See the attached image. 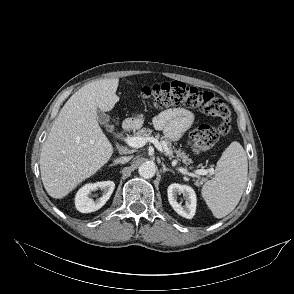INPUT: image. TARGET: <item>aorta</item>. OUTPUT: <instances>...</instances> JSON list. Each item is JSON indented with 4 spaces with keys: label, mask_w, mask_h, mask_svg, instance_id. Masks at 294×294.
Instances as JSON below:
<instances>
[{
    "label": "aorta",
    "mask_w": 294,
    "mask_h": 294,
    "mask_svg": "<svg viewBox=\"0 0 294 294\" xmlns=\"http://www.w3.org/2000/svg\"><path fill=\"white\" fill-rule=\"evenodd\" d=\"M138 172L142 178L150 179L155 175L156 168L153 163L145 162L139 166Z\"/></svg>",
    "instance_id": "aorta-1"
}]
</instances>
